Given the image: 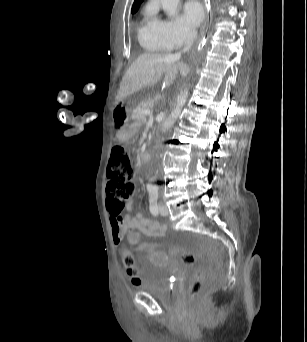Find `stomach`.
Instances as JSON below:
<instances>
[{
  "label": "stomach",
  "instance_id": "0dacf381",
  "mask_svg": "<svg viewBox=\"0 0 307 342\" xmlns=\"http://www.w3.org/2000/svg\"><path fill=\"white\" fill-rule=\"evenodd\" d=\"M113 120L121 129H126L130 120V110L123 107H115L113 110Z\"/></svg>",
  "mask_w": 307,
  "mask_h": 342
}]
</instances>
